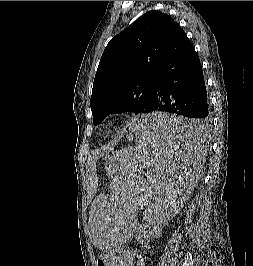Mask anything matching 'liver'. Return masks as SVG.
<instances>
[{"label": "liver", "mask_w": 253, "mask_h": 266, "mask_svg": "<svg viewBox=\"0 0 253 266\" xmlns=\"http://www.w3.org/2000/svg\"><path fill=\"white\" fill-rule=\"evenodd\" d=\"M113 146H114V145L108 146L107 148H105V149L102 151V153H99V154L97 153V155H95V156L93 157V159L96 160V159H98L102 154L110 152V151L113 149ZM98 247H99V246H98Z\"/></svg>", "instance_id": "6515ba94"}]
</instances>
